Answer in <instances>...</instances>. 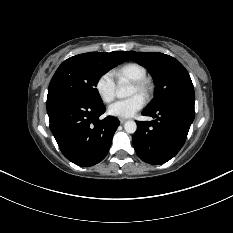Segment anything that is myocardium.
<instances>
[{
	"mask_svg": "<svg viewBox=\"0 0 233 233\" xmlns=\"http://www.w3.org/2000/svg\"><path fill=\"white\" fill-rule=\"evenodd\" d=\"M132 86L136 88L138 94L143 97V99L148 100L153 92V84L147 79H140L132 82Z\"/></svg>",
	"mask_w": 233,
	"mask_h": 233,
	"instance_id": "obj_1",
	"label": "myocardium"
}]
</instances>
